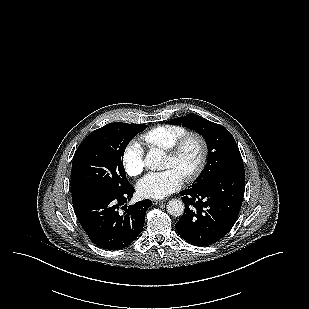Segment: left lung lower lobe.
<instances>
[{
	"label": "left lung lower lobe",
	"mask_w": 309,
	"mask_h": 309,
	"mask_svg": "<svg viewBox=\"0 0 309 309\" xmlns=\"http://www.w3.org/2000/svg\"><path fill=\"white\" fill-rule=\"evenodd\" d=\"M244 191V168L223 171L181 191L185 211L175 225L180 237L202 247L221 240L239 215Z\"/></svg>",
	"instance_id": "1"
}]
</instances>
